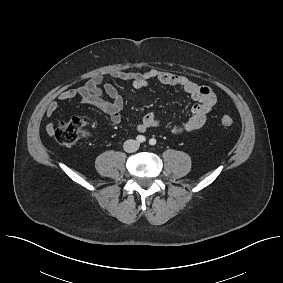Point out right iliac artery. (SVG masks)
Returning <instances> with one entry per match:
<instances>
[{
    "label": "right iliac artery",
    "instance_id": "82829eb1",
    "mask_svg": "<svg viewBox=\"0 0 283 283\" xmlns=\"http://www.w3.org/2000/svg\"><path fill=\"white\" fill-rule=\"evenodd\" d=\"M137 141L140 142V143H143L146 141V138L143 136V135H138L136 137Z\"/></svg>",
    "mask_w": 283,
    "mask_h": 283
}]
</instances>
